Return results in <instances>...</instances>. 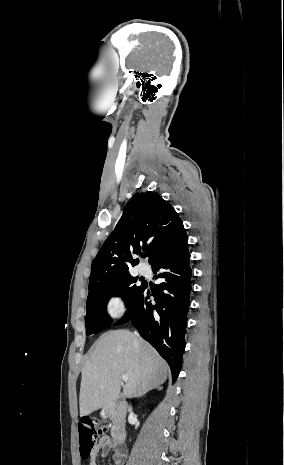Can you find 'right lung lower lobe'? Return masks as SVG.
<instances>
[{
    "instance_id": "obj_1",
    "label": "right lung lower lobe",
    "mask_w": 284,
    "mask_h": 465,
    "mask_svg": "<svg viewBox=\"0 0 284 465\" xmlns=\"http://www.w3.org/2000/svg\"><path fill=\"white\" fill-rule=\"evenodd\" d=\"M188 237L151 267L162 283L151 289L147 284L136 294L122 319L114 325L131 321L140 335L167 361L173 382L182 366L190 310L193 275L190 267ZM155 297V304L149 301Z\"/></svg>"
}]
</instances>
